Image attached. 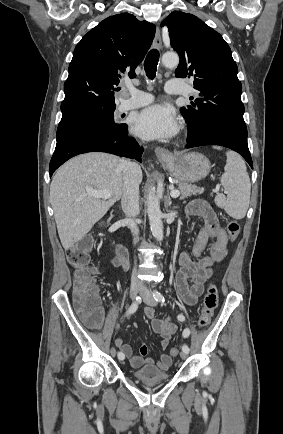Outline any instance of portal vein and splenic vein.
I'll use <instances>...</instances> for the list:
<instances>
[{"instance_id": "portal-vein-and-splenic-vein-1", "label": "portal vein and splenic vein", "mask_w": 283, "mask_h": 434, "mask_svg": "<svg viewBox=\"0 0 283 434\" xmlns=\"http://www.w3.org/2000/svg\"><path fill=\"white\" fill-rule=\"evenodd\" d=\"M87 195L94 197V198H102V199H109L112 196V193L110 191H97V190H87ZM170 195L172 198H177L180 195V192L178 190H171Z\"/></svg>"}]
</instances>
